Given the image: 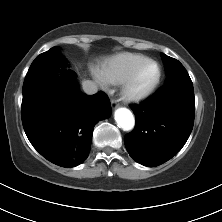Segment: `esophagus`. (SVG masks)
Here are the masks:
<instances>
[{
	"instance_id": "34e87169",
	"label": "esophagus",
	"mask_w": 222,
	"mask_h": 222,
	"mask_svg": "<svg viewBox=\"0 0 222 222\" xmlns=\"http://www.w3.org/2000/svg\"><path fill=\"white\" fill-rule=\"evenodd\" d=\"M117 102H118V100H116L114 98L111 99V105L113 108H116L118 106Z\"/></svg>"
}]
</instances>
